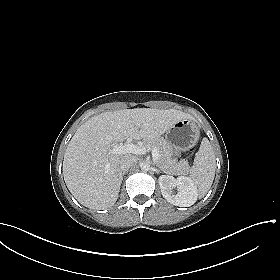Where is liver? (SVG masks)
Returning a JSON list of instances; mask_svg holds the SVG:
<instances>
[{"label":"liver","instance_id":"obj_1","mask_svg":"<svg viewBox=\"0 0 280 280\" xmlns=\"http://www.w3.org/2000/svg\"><path fill=\"white\" fill-rule=\"evenodd\" d=\"M183 119L192 116L175 109L153 108L93 116L78 128L64 154L63 176L69 191L85 207L110 208L118 199L123 179L120 161L127 155L111 153L112 146L126 139L160 138Z\"/></svg>","mask_w":280,"mask_h":280}]
</instances>
